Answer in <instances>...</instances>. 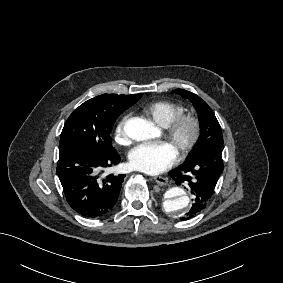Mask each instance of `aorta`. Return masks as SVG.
I'll use <instances>...</instances> for the list:
<instances>
[{"label":"aorta","instance_id":"obj_1","mask_svg":"<svg viewBox=\"0 0 283 283\" xmlns=\"http://www.w3.org/2000/svg\"><path fill=\"white\" fill-rule=\"evenodd\" d=\"M126 135L133 140L143 141L153 138L157 134V128L146 119L131 118L125 126ZM164 210L171 216L178 218L189 211L190 197L188 192L181 187H172L164 193Z\"/></svg>","mask_w":283,"mask_h":283}]
</instances>
